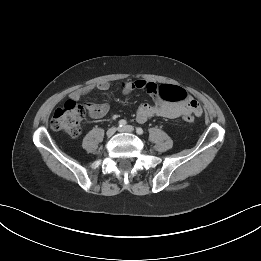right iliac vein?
Instances as JSON below:
<instances>
[{
	"mask_svg": "<svg viewBox=\"0 0 261 261\" xmlns=\"http://www.w3.org/2000/svg\"><path fill=\"white\" fill-rule=\"evenodd\" d=\"M116 131H117L116 127H111V128L108 129L106 134H107L108 137H111L112 135L115 134Z\"/></svg>",
	"mask_w": 261,
	"mask_h": 261,
	"instance_id": "1",
	"label": "right iliac vein"
}]
</instances>
